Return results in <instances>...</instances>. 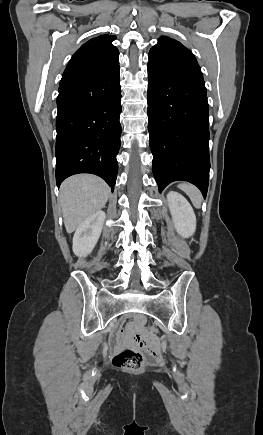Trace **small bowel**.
<instances>
[{
	"label": "small bowel",
	"mask_w": 263,
	"mask_h": 435,
	"mask_svg": "<svg viewBox=\"0 0 263 435\" xmlns=\"http://www.w3.org/2000/svg\"><path fill=\"white\" fill-rule=\"evenodd\" d=\"M136 322L139 325H145L146 324V317L143 315H139L136 318ZM143 339L145 341H143ZM155 334L154 332H145L142 336H133L131 338V343L133 345H136L137 350H147V354L149 355L150 361H160L161 354L159 352V343L158 341H154ZM130 341L128 338L122 333H118L116 336V344L118 347H123L127 344H129Z\"/></svg>",
	"instance_id": "1"
}]
</instances>
